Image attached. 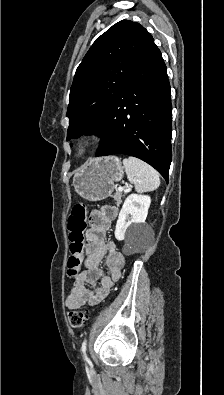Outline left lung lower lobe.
Masks as SVG:
<instances>
[{
    "mask_svg": "<svg viewBox=\"0 0 224 395\" xmlns=\"http://www.w3.org/2000/svg\"><path fill=\"white\" fill-rule=\"evenodd\" d=\"M172 105L166 66L157 46L108 108L96 157L126 154L153 166L168 182Z\"/></svg>",
    "mask_w": 224,
    "mask_h": 395,
    "instance_id": "left-lung-lower-lobe-1",
    "label": "left lung lower lobe"
}]
</instances>
